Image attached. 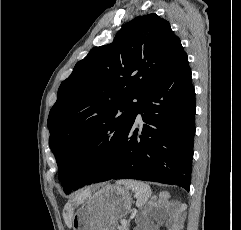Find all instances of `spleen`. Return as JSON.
Listing matches in <instances>:
<instances>
[{
    "label": "spleen",
    "mask_w": 241,
    "mask_h": 230,
    "mask_svg": "<svg viewBox=\"0 0 241 230\" xmlns=\"http://www.w3.org/2000/svg\"><path fill=\"white\" fill-rule=\"evenodd\" d=\"M119 183L125 185L135 193L137 207H142L152 194L150 186L146 183L134 180H124Z\"/></svg>",
    "instance_id": "spleen-1"
}]
</instances>
